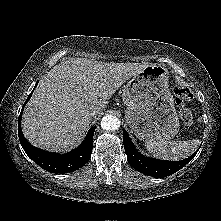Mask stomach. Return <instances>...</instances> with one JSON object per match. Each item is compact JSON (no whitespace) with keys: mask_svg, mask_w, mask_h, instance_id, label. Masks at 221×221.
Instances as JSON below:
<instances>
[{"mask_svg":"<svg viewBox=\"0 0 221 221\" xmlns=\"http://www.w3.org/2000/svg\"><path fill=\"white\" fill-rule=\"evenodd\" d=\"M168 75L165 67L148 65L123 89L126 122L140 140L167 141L179 132L180 123Z\"/></svg>","mask_w":221,"mask_h":221,"instance_id":"1","label":"stomach"}]
</instances>
